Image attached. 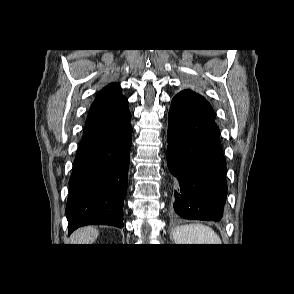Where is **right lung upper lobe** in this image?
<instances>
[{"instance_id":"obj_1","label":"right lung upper lobe","mask_w":294,"mask_h":294,"mask_svg":"<svg viewBox=\"0 0 294 294\" xmlns=\"http://www.w3.org/2000/svg\"><path fill=\"white\" fill-rule=\"evenodd\" d=\"M124 98L125 97L121 94V87L119 84H109L98 93L91 108L111 105Z\"/></svg>"}]
</instances>
